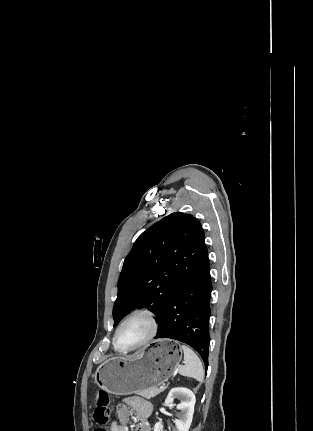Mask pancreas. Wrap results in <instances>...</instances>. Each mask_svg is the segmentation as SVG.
Returning a JSON list of instances; mask_svg holds the SVG:
<instances>
[{
  "mask_svg": "<svg viewBox=\"0 0 313 431\" xmlns=\"http://www.w3.org/2000/svg\"><path fill=\"white\" fill-rule=\"evenodd\" d=\"M164 389L161 388H148L138 392L144 398L150 399L161 393Z\"/></svg>",
  "mask_w": 313,
  "mask_h": 431,
  "instance_id": "obj_1",
  "label": "pancreas"
}]
</instances>
